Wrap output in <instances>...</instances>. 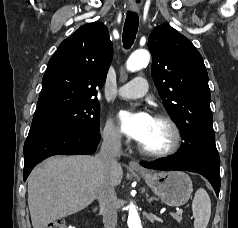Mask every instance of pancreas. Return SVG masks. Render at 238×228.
Returning <instances> with one entry per match:
<instances>
[{"label": "pancreas", "mask_w": 238, "mask_h": 228, "mask_svg": "<svg viewBox=\"0 0 238 228\" xmlns=\"http://www.w3.org/2000/svg\"><path fill=\"white\" fill-rule=\"evenodd\" d=\"M173 218L177 221V222H181L182 221V216L180 214H174Z\"/></svg>", "instance_id": "pancreas-1"}]
</instances>
